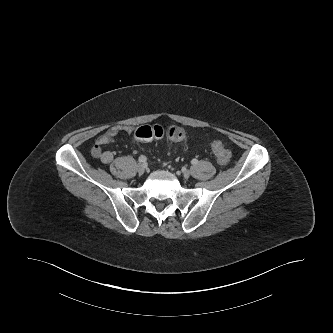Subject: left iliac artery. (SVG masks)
I'll return each mask as SVG.
<instances>
[{
    "label": "left iliac artery",
    "mask_w": 333,
    "mask_h": 333,
    "mask_svg": "<svg viewBox=\"0 0 333 333\" xmlns=\"http://www.w3.org/2000/svg\"><path fill=\"white\" fill-rule=\"evenodd\" d=\"M198 163L197 159H192L191 164L196 165Z\"/></svg>",
    "instance_id": "1"
}]
</instances>
